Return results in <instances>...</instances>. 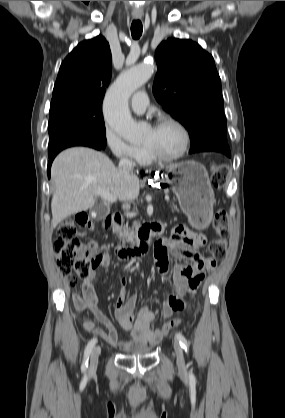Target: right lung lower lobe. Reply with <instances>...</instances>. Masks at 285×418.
<instances>
[{"instance_id": "98d812e1", "label": "right lung lower lobe", "mask_w": 285, "mask_h": 418, "mask_svg": "<svg viewBox=\"0 0 285 418\" xmlns=\"http://www.w3.org/2000/svg\"><path fill=\"white\" fill-rule=\"evenodd\" d=\"M72 146H86V147H91V148H94V149H97V150H103L104 149V147H102L101 145H99V144H97V143H93V142H79V143H75V144H72V145H70V146H68V147H72ZM68 147H66V148H68ZM65 149V148H64ZM63 150V149H62ZM61 151V150H60ZM59 151V152H60ZM59 152H57L56 154H54V155H52V156H50L49 157V163H48V177L50 178V169H51V164H52V162H53V159L55 158V156L59 153Z\"/></svg>"}]
</instances>
